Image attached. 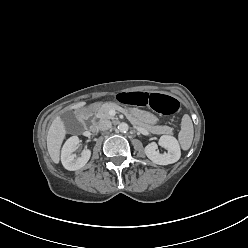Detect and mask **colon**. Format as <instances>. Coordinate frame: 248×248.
Segmentation results:
<instances>
[{
  "label": "colon",
  "mask_w": 248,
  "mask_h": 248,
  "mask_svg": "<svg viewBox=\"0 0 248 248\" xmlns=\"http://www.w3.org/2000/svg\"><path fill=\"white\" fill-rule=\"evenodd\" d=\"M119 99L127 104L150 106L153 110L163 115H172L179 108V103L175 98L160 93L150 94L144 91L125 92L119 95Z\"/></svg>",
  "instance_id": "obj_1"
}]
</instances>
